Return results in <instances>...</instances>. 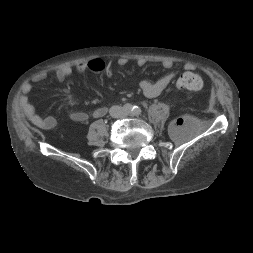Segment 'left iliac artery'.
<instances>
[{"label":"left iliac artery","mask_w":253,"mask_h":253,"mask_svg":"<svg viewBox=\"0 0 253 253\" xmlns=\"http://www.w3.org/2000/svg\"><path fill=\"white\" fill-rule=\"evenodd\" d=\"M133 113H134L135 115H139V114L141 113L140 107L134 106V107H133Z\"/></svg>","instance_id":"obj_1"}]
</instances>
